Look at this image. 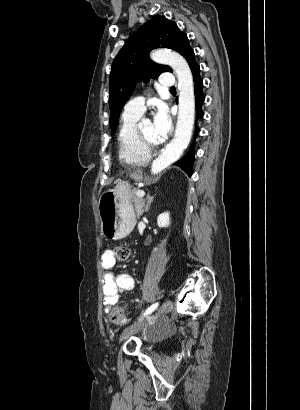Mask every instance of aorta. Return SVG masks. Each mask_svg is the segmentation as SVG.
<instances>
[{"label": "aorta", "mask_w": 300, "mask_h": 410, "mask_svg": "<svg viewBox=\"0 0 300 410\" xmlns=\"http://www.w3.org/2000/svg\"><path fill=\"white\" fill-rule=\"evenodd\" d=\"M151 59L159 64L169 65L175 72L179 88V112L172 141L153 161L151 173L158 174L174 163L188 146L195 118V95L193 76L187 61L179 53L167 49L154 50Z\"/></svg>", "instance_id": "1"}]
</instances>
